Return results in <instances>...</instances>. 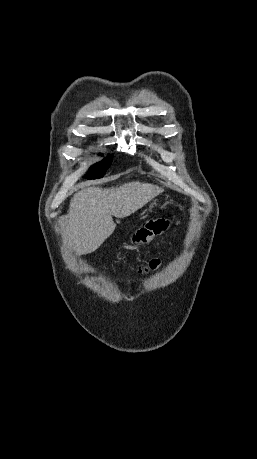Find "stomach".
Returning <instances> with one entry per match:
<instances>
[{
    "label": "stomach",
    "instance_id": "1",
    "mask_svg": "<svg viewBox=\"0 0 257 459\" xmlns=\"http://www.w3.org/2000/svg\"><path fill=\"white\" fill-rule=\"evenodd\" d=\"M154 204H156V203H155V202H154V203H152V204H151L149 207H150V208H152V207L154 206Z\"/></svg>",
    "mask_w": 257,
    "mask_h": 459
}]
</instances>
